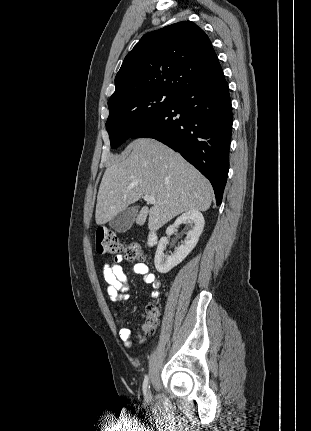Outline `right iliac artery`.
<instances>
[{
  "instance_id": "right-iliac-artery-1",
  "label": "right iliac artery",
  "mask_w": 311,
  "mask_h": 431,
  "mask_svg": "<svg viewBox=\"0 0 311 431\" xmlns=\"http://www.w3.org/2000/svg\"><path fill=\"white\" fill-rule=\"evenodd\" d=\"M148 388H149V378H148V375H146L143 381V393L145 395L147 393Z\"/></svg>"
}]
</instances>
